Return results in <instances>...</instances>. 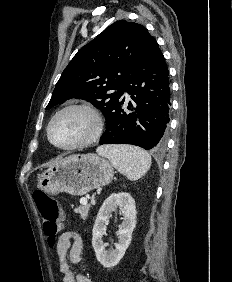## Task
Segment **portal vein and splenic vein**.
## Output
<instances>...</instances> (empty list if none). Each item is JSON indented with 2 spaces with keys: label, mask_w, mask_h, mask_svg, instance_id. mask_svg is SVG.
<instances>
[{
  "label": "portal vein and splenic vein",
  "mask_w": 232,
  "mask_h": 282,
  "mask_svg": "<svg viewBox=\"0 0 232 282\" xmlns=\"http://www.w3.org/2000/svg\"><path fill=\"white\" fill-rule=\"evenodd\" d=\"M80 203H81L82 205H87V203H88L87 198H86V197L81 198V199H80Z\"/></svg>",
  "instance_id": "1"
}]
</instances>
